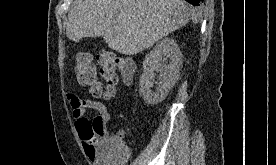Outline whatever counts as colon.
I'll use <instances>...</instances> for the list:
<instances>
[{"instance_id": "colon-1", "label": "colon", "mask_w": 276, "mask_h": 165, "mask_svg": "<svg viewBox=\"0 0 276 165\" xmlns=\"http://www.w3.org/2000/svg\"><path fill=\"white\" fill-rule=\"evenodd\" d=\"M75 70L80 84L88 87L93 96L105 99L114 96L119 76L125 83H130L134 74L133 64L128 59L107 50L98 55L97 62L87 52L78 53ZM78 132L88 146L97 143L102 134L101 126L87 118L79 120ZM108 148L116 152L118 144L109 140Z\"/></svg>"}]
</instances>
